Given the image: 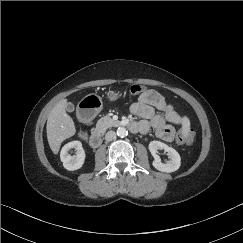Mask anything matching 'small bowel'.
<instances>
[{
  "label": "small bowel",
  "mask_w": 243,
  "mask_h": 243,
  "mask_svg": "<svg viewBox=\"0 0 243 243\" xmlns=\"http://www.w3.org/2000/svg\"><path fill=\"white\" fill-rule=\"evenodd\" d=\"M156 110L160 114L156 113ZM130 111L140 118V121L134 122L139 126L136 132L146 134L150 129H154L157 138L166 142L174 140L173 125L179 126L184 121L174 106L154 89L145 90L140 94L137 101L131 105Z\"/></svg>",
  "instance_id": "1"
}]
</instances>
